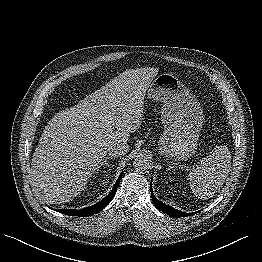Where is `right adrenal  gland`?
<instances>
[{"label": "right adrenal gland", "mask_w": 262, "mask_h": 262, "mask_svg": "<svg viewBox=\"0 0 262 262\" xmlns=\"http://www.w3.org/2000/svg\"><path fill=\"white\" fill-rule=\"evenodd\" d=\"M110 159H114V158L111 157V156H107V157L104 159V161L101 163V165H102V166H103V165L108 166V165H109V161H108V160H110Z\"/></svg>", "instance_id": "1"}]
</instances>
